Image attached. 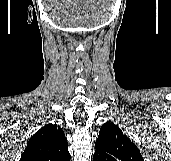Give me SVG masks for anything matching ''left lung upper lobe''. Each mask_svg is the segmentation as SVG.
<instances>
[{"mask_svg": "<svg viewBox=\"0 0 171 161\" xmlns=\"http://www.w3.org/2000/svg\"><path fill=\"white\" fill-rule=\"evenodd\" d=\"M95 148L93 161H144L135 144L112 122L101 127Z\"/></svg>", "mask_w": 171, "mask_h": 161, "instance_id": "left-lung-upper-lobe-1", "label": "left lung upper lobe"}]
</instances>
